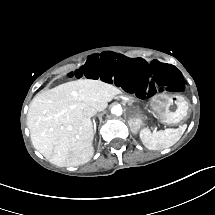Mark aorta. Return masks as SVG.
<instances>
[{
	"label": "aorta",
	"mask_w": 215,
	"mask_h": 215,
	"mask_svg": "<svg viewBox=\"0 0 215 215\" xmlns=\"http://www.w3.org/2000/svg\"><path fill=\"white\" fill-rule=\"evenodd\" d=\"M111 113L114 114V115H121L122 114V107L120 105H114L112 108H111Z\"/></svg>",
	"instance_id": "1"
}]
</instances>
